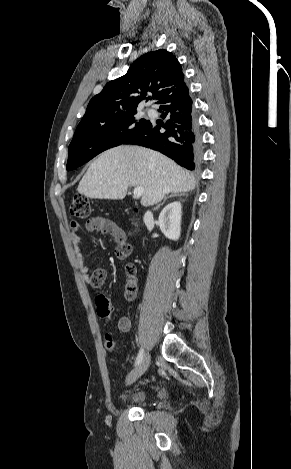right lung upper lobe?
<instances>
[{
	"label": "right lung upper lobe",
	"instance_id": "obj_1",
	"mask_svg": "<svg viewBox=\"0 0 291 469\" xmlns=\"http://www.w3.org/2000/svg\"><path fill=\"white\" fill-rule=\"evenodd\" d=\"M185 86L181 64L172 53L164 49L146 53L124 76L108 82L91 99L81 121L134 111L148 93H152L159 104Z\"/></svg>",
	"mask_w": 291,
	"mask_h": 469
}]
</instances>
